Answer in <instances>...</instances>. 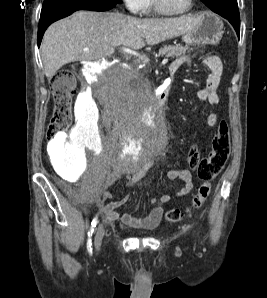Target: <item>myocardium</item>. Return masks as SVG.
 <instances>
[{
  "label": "myocardium",
  "mask_w": 267,
  "mask_h": 298,
  "mask_svg": "<svg viewBox=\"0 0 267 298\" xmlns=\"http://www.w3.org/2000/svg\"><path fill=\"white\" fill-rule=\"evenodd\" d=\"M151 3H152V7L156 13L163 15V16L177 17V16L185 15L188 12H190V10L192 9V7L194 5V0H189L187 7L184 10H182L181 12H171V11L166 10L162 6L160 0H151Z\"/></svg>",
  "instance_id": "myocardium-1"
}]
</instances>
